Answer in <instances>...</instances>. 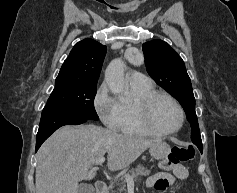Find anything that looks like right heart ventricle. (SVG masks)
Instances as JSON below:
<instances>
[{
  "label": "right heart ventricle",
  "instance_id": "right-heart-ventricle-1",
  "mask_svg": "<svg viewBox=\"0 0 237 193\" xmlns=\"http://www.w3.org/2000/svg\"><path fill=\"white\" fill-rule=\"evenodd\" d=\"M131 91L135 101L132 104H121L122 117L119 126V132L133 136H148L147 132L142 130L135 118V104L137 101L146 98L155 92L152 84L149 85H133L130 84Z\"/></svg>",
  "mask_w": 237,
  "mask_h": 193
}]
</instances>
